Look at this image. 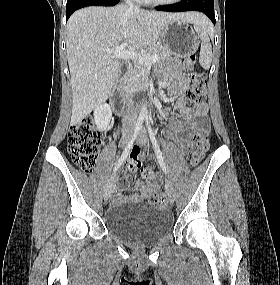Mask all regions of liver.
I'll return each instance as SVG.
<instances>
[{"label": "liver", "instance_id": "6515ba94", "mask_svg": "<svg viewBox=\"0 0 280 285\" xmlns=\"http://www.w3.org/2000/svg\"><path fill=\"white\" fill-rule=\"evenodd\" d=\"M198 13H162L115 7H87L67 23L66 51L71 75V125L79 123L105 102L120 73L121 64L106 49L127 43L128 51L153 47L165 25L174 20L196 24Z\"/></svg>", "mask_w": 280, "mask_h": 285}]
</instances>
